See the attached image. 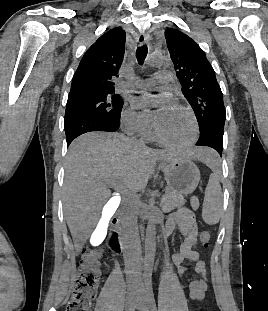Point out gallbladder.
I'll use <instances>...</instances> for the list:
<instances>
[{
	"instance_id": "bac80fb5",
	"label": "gallbladder",
	"mask_w": 268,
	"mask_h": 311,
	"mask_svg": "<svg viewBox=\"0 0 268 311\" xmlns=\"http://www.w3.org/2000/svg\"><path fill=\"white\" fill-rule=\"evenodd\" d=\"M121 204V199H107V201L104 202L102 207L103 212L101 214L102 218L98 225L99 227H94V232L91 236L93 246H100L102 239H106L107 234H109L108 221L114 216L116 209H118Z\"/></svg>"
}]
</instances>
